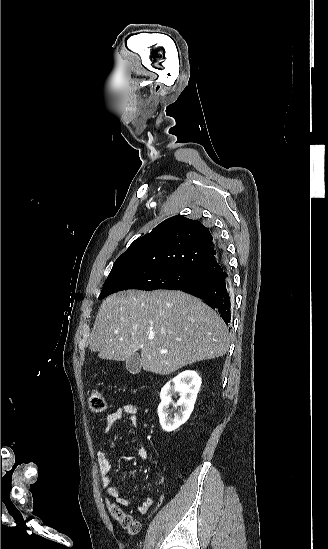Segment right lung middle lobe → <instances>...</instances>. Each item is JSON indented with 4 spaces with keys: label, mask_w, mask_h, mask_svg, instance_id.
Segmentation results:
<instances>
[{
    "label": "right lung middle lobe",
    "mask_w": 328,
    "mask_h": 549,
    "mask_svg": "<svg viewBox=\"0 0 328 549\" xmlns=\"http://www.w3.org/2000/svg\"><path fill=\"white\" fill-rule=\"evenodd\" d=\"M205 278L195 271L178 267L130 265L109 274L98 299H103L109 294L127 289L146 291L157 289L178 290Z\"/></svg>",
    "instance_id": "1"
}]
</instances>
